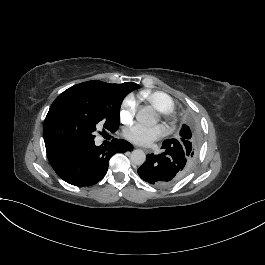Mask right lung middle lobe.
Instances as JSON below:
<instances>
[{
    "label": "right lung middle lobe",
    "mask_w": 265,
    "mask_h": 265,
    "mask_svg": "<svg viewBox=\"0 0 265 265\" xmlns=\"http://www.w3.org/2000/svg\"><path fill=\"white\" fill-rule=\"evenodd\" d=\"M131 91L123 84L97 80L65 90L52 103L44 121L46 148L92 140L101 124L111 132L117 130L122 100Z\"/></svg>",
    "instance_id": "right-lung-middle-lobe-1"
}]
</instances>
